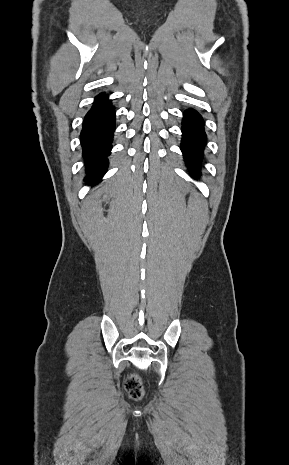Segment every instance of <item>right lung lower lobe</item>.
Segmentation results:
<instances>
[{"label":"right lung lower lobe","instance_id":"obj_1","mask_svg":"<svg viewBox=\"0 0 289 465\" xmlns=\"http://www.w3.org/2000/svg\"><path fill=\"white\" fill-rule=\"evenodd\" d=\"M114 130L115 110L107 95L101 93L86 114L80 134L87 184L97 183L106 172Z\"/></svg>","mask_w":289,"mask_h":465}]
</instances>
